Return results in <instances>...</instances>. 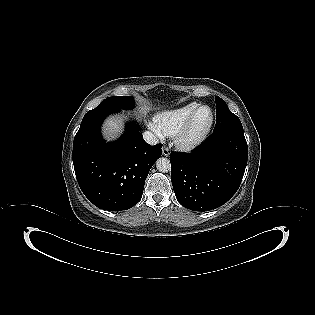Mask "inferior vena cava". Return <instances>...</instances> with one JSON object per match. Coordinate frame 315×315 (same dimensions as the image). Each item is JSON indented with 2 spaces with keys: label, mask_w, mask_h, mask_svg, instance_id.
Wrapping results in <instances>:
<instances>
[{
  "label": "inferior vena cava",
  "mask_w": 315,
  "mask_h": 315,
  "mask_svg": "<svg viewBox=\"0 0 315 315\" xmlns=\"http://www.w3.org/2000/svg\"><path fill=\"white\" fill-rule=\"evenodd\" d=\"M143 137H144V140L149 144V145H156L159 140L158 138L151 132L149 131H145L143 133Z\"/></svg>",
  "instance_id": "1"
}]
</instances>
